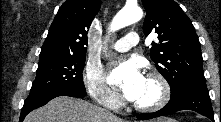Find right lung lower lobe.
Returning a JSON list of instances; mask_svg holds the SVG:
<instances>
[{"label":"right lung lower lobe","mask_w":221,"mask_h":122,"mask_svg":"<svg viewBox=\"0 0 221 122\" xmlns=\"http://www.w3.org/2000/svg\"><path fill=\"white\" fill-rule=\"evenodd\" d=\"M58 96L84 97L86 96V92L74 88L60 87L47 91L30 93L24 102L19 122H22L29 112L45 105L48 101Z\"/></svg>","instance_id":"obj_1"}]
</instances>
